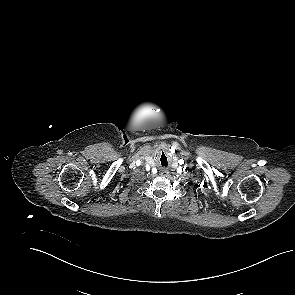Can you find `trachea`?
Here are the masks:
<instances>
[{
	"label": "trachea",
	"instance_id": "obj_1",
	"mask_svg": "<svg viewBox=\"0 0 295 295\" xmlns=\"http://www.w3.org/2000/svg\"><path fill=\"white\" fill-rule=\"evenodd\" d=\"M161 164L162 166H167V159L164 162H162V156H161Z\"/></svg>",
	"mask_w": 295,
	"mask_h": 295
}]
</instances>
